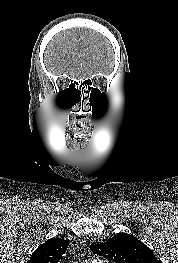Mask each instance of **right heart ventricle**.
Here are the masks:
<instances>
[{
    "mask_svg": "<svg viewBox=\"0 0 178 263\" xmlns=\"http://www.w3.org/2000/svg\"><path fill=\"white\" fill-rule=\"evenodd\" d=\"M84 263H104V262L101 260L92 259V260L85 261Z\"/></svg>",
    "mask_w": 178,
    "mask_h": 263,
    "instance_id": "right-heart-ventricle-1",
    "label": "right heart ventricle"
}]
</instances>
